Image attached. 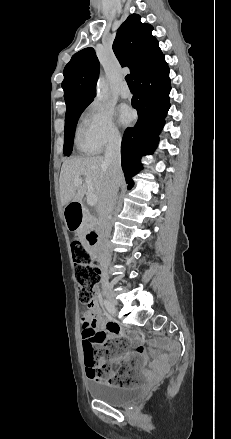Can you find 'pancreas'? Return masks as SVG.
<instances>
[{
  "label": "pancreas",
  "mask_w": 231,
  "mask_h": 439,
  "mask_svg": "<svg viewBox=\"0 0 231 439\" xmlns=\"http://www.w3.org/2000/svg\"><path fill=\"white\" fill-rule=\"evenodd\" d=\"M96 217L93 216L89 210L84 209V221H83V230L88 229L91 225L96 223Z\"/></svg>",
  "instance_id": "pancreas-1"
}]
</instances>
